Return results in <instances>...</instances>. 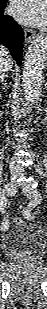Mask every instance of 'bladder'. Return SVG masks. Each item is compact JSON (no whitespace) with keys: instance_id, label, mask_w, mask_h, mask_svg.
<instances>
[{"instance_id":"bladder-1","label":"bladder","mask_w":47,"mask_h":309,"mask_svg":"<svg viewBox=\"0 0 47 309\" xmlns=\"http://www.w3.org/2000/svg\"><path fill=\"white\" fill-rule=\"evenodd\" d=\"M0 246L9 256L40 255L46 248V231L40 225L21 221L2 236Z\"/></svg>"}]
</instances>
